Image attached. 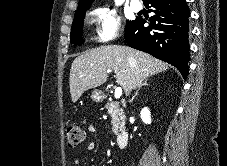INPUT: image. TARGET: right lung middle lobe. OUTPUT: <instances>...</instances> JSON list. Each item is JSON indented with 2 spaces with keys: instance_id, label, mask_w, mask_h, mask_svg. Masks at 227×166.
Here are the masks:
<instances>
[{
  "instance_id": "right-lung-middle-lobe-1",
  "label": "right lung middle lobe",
  "mask_w": 227,
  "mask_h": 166,
  "mask_svg": "<svg viewBox=\"0 0 227 166\" xmlns=\"http://www.w3.org/2000/svg\"><path fill=\"white\" fill-rule=\"evenodd\" d=\"M87 9H81L77 10L74 16V20L72 23V28H71V44L74 45H81L84 40L82 38V27H83V20L85 17ZM134 21H127L126 23V29H128Z\"/></svg>"
}]
</instances>
